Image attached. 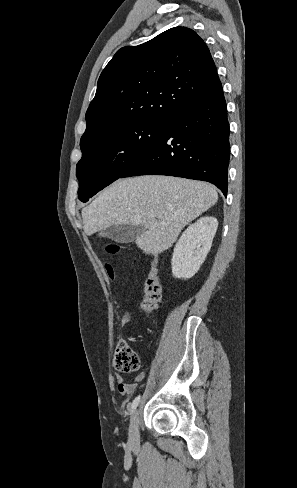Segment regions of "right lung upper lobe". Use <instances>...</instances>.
I'll list each match as a JSON object with an SVG mask.
<instances>
[{
	"instance_id": "right-lung-upper-lobe-1",
	"label": "right lung upper lobe",
	"mask_w": 297,
	"mask_h": 488,
	"mask_svg": "<svg viewBox=\"0 0 297 488\" xmlns=\"http://www.w3.org/2000/svg\"><path fill=\"white\" fill-rule=\"evenodd\" d=\"M221 88L207 45L191 29L171 28L144 44L121 48L99 77L81 151L127 125L170 120Z\"/></svg>"
}]
</instances>
